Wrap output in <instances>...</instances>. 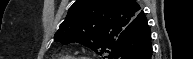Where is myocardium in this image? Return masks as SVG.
Masks as SVG:
<instances>
[{"label": "myocardium", "mask_w": 193, "mask_h": 59, "mask_svg": "<svg viewBox=\"0 0 193 59\" xmlns=\"http://www.w3.org/2000/svg\"><path fill=\"white\" fill-rule=\"evenodd\" d=\"M69 59H91L89 57H76V58H69Z\"/></svg>", "instance_id": "1"}]
</instances>
